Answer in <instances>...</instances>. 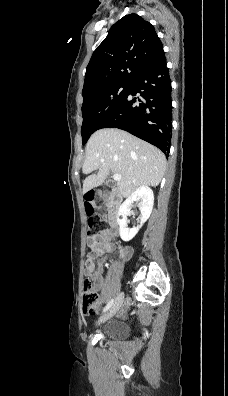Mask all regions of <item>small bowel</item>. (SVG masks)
Returning a JSON list of instances; mask_svg holds the SVG:
<instances>
[{
  "instance_id": "obj_1",
  "label": "small bowel",
  "mask_w": 228,
  "mask_h": 396,
  "mask_svg": "<svg viewBox=\"0 0 228 396\" xmlns=\"http://www.w3.org/2000/svg\"><path fill=\"white\" fill-rule=\"evenodd\" d=\"M116 238V230L111 229L105 233H100L98 235V240L92 242L88 240V247L90 252L87 254L85 262V274L91 276L95 281V287L97 290H101L103 287V262H100L99 268L96 269L94 260L98 256H102L104 253L109 252L113 249V241ZM122 255L129 254L131 252L130 248L119 247Z\"/></svg>"
}]
</instances>
